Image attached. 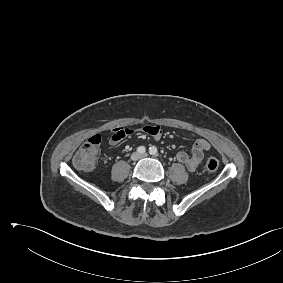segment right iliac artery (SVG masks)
Returning <instances> with one entry per match:
<instances>
[{
  "mask_svg": "<svg viewBox=\"0 0 283 283\" xmlns=\"http://www.w3.org/2000/svg\"><path fill=\"white\" fill-rule=\"evenodd\" d=\"M145 151H146V148L144 146H139L137 148V152L140 153V154L145 153Z\"/></svg>",
  "mask_w": 283,
  "mask_h": 283,
  "instance_id": "right-iliac-artery-1",
  "label": "right iliac artery"
}]
</instances>
